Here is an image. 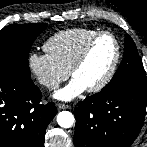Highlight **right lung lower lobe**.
<instances>
[{
	"instance_id": "obj_1",
	"label": "right lung lower lobe",
	"mask_w": 147,
	"mask_h": 147,
	"mask_svg": "<svg viewBox=\"0 0 147 147\" xmlns=\"http://www.w3.org/2000/svg\"><path fill=\"white\" fill-rule=\"evenodd\" d=\"M32 80L0 73V147H43L48 124L56 115L53 102L40 104Z\"/></svg>"
}]
</instances>
